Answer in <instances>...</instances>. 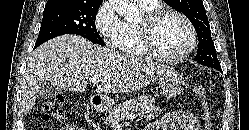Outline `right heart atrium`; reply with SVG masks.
<instances>
[{"label":"right heart atrium","instance_id":"right-heart-atrium-1","mask_svg":"<svg viewBox=\"0 0 249 130\" xmlns=\"http://www.w3.org/2000/svg\"><path fill=\"white\" fill-rule=\"evenodd\" d=\"M94 27L108 46L117 48L123 22L116 15L109 2L102 3L98 8L94 16Z\"/></svg>","mask_w":249,"mask_h":130}]
</instances>
